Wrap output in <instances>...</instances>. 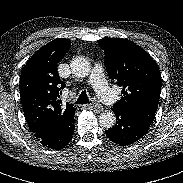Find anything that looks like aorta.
I'll return each instance as SVG.
<instances>
[{"instance_id": "obj_1", "label": "aorta", "mask_w": 183, "mask_h": 183, "mask_svg": "<svg viewBox=\"0 0 183 183\" xmlns=\"http://www.w3.org/2000/svg\"><path fill=\"white\" fill-rule=\"evenodd\" d=\"M72 73L78 78H85L91 71L89 61L84 57H76L70 64ZM116 122L115 114L112 111H104L99 116V123L104 128H111Z\"/></svg>"}]
</instances>
